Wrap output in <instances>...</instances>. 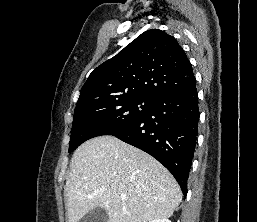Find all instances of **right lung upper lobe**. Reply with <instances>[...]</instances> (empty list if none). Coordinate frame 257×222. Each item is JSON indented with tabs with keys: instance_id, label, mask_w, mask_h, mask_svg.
Masks as SVG:
<instances>
[{
	"instance_id": "obj_1",
	"label": "right lung upper lobe",
	"mask_w": 257,
	"mask_h": 222,
	"mask_svg": "<svg viewBox=\"0 0 257 222\" xmlns=\"http://www.w3.org/2000/svg\"><path fill=\"white\" fill-rule=\"evenodd\" d=\"M195 82L191 63L176 39L151 29L89 75L77 105L95 97L147 96L157 100Z\"/></svg>"
}]
</instances>
